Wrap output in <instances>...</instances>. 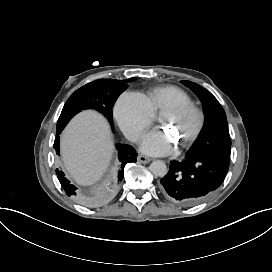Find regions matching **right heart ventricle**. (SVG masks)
Returning a JSON list of instances; mask_svg holds the SVG:
<instances>
[{
	"label": "right heart ventricle",
	"mask_w": 272,
	"mask_h": 272,
	"mask_svg": "<svg viewBox=\"0 0 272 272\" xmlns=\"http://www.w3.org/2000/svg\"><path fill=\"white\" fill-rule=\"evenodd\" d=\"M147 99L154 111H165L172 103L190 104L188 96L173 86L157 88L147 95Z\"/></svg>",
	"instance_id": "1"
}]
</instances>
